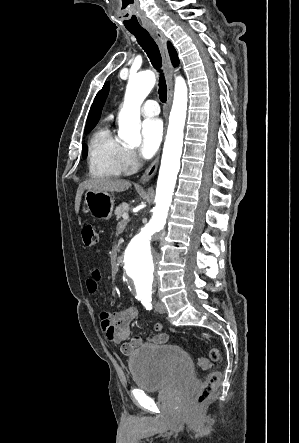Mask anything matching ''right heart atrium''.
Here are the masks:
<instances>
[{"mask_svg":"<svg viewBox=\"0 0 299 443\" xmlns=\"http://www.w3.org/2000/svg\"><path fill=\"white\" fill-rule=\"evenodd\" d=\"M139 164L140 161L136 152L131 148L124 147L122 152L123 170L127 172L133 171L139 166Z\"/></svg>","mask_w":299,"mask_h":443,"instance_id":"d8ad5b80","label":"right heart atrium"}]
</instances>
